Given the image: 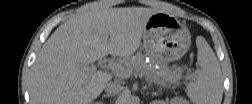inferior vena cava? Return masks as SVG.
Returning <instances> with one entry per match:
<instances>
[{"instance_id": "obj_1", "label": "inferior vena cava", "mask_w": 252, "mask_h": 104, "mask_svg": "<svg viewBox=\"0 0 252 104\" xmlns=\"http://www.w3.org/2000/svg\"><path fill=\"white\" fill-rule=\"evenodd\" d=\"M104 89L107 94H118L123 90V86L119 82H108Z\"/></svg>"}]
</instances>
